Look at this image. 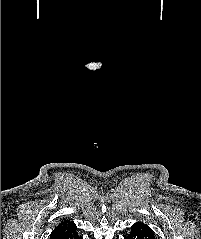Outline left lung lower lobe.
<instances>
[{
  "label": "left lung lower lobe",
  "mask_w": 201,
  "mask_h": 239,
  "mask_svg": "<svg viewBox=\"0 0 201 239\" xmlns=\"http://www.w3.org/2000/svg\"><path fill=\"white\" fill-rule=\"evenodd\" d=\"M126 239H155V234L146 224L135 223Z\"/></svg>",
  "instance_id": "0a47b994"
}]
</instances>
